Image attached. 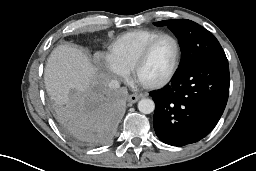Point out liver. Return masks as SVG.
<instances>
[{"mask_svg": "<svg viewBox=\"0 0 256 171\" xmlns=\"http://www.w3.org/2000/svg\"><path fill=\"white\" fill-rule=\"evenodd\" d=\"M45 86L50 98L59 106L70 107V93L75 90L84 98L91 96L92 88L98 83L96 68L88 56L71 45L56 47L47 59L44 71ZM79 105V106H80Z\"/></svg>", "mask_w": 256, "mask_h": 171, "instance_id": "1", "label": "liver"}]
</instances>
